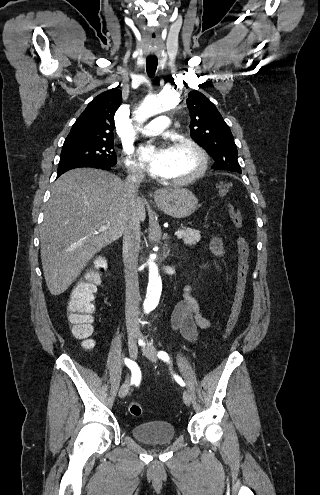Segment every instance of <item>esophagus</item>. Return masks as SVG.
<instances>
[{"label": "esophagus", "mask_w": 320, "mask_h": 495, "mask_svg": "<svg viewBox=\"0 0 320 495\" xmlns=\"http://www.w3.org/2000/svg\"><path fill=\"white\" fill-rule=\"evenodd\" d=\"M164 195H165V191H164V190H162V189H158V190H156V191H155V193H154V198H155L156 200H159V199H161Z\"/></svg>", "instance_id": "esophagus-1"}]
</instances>
